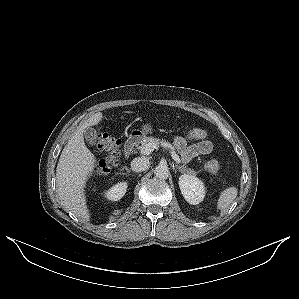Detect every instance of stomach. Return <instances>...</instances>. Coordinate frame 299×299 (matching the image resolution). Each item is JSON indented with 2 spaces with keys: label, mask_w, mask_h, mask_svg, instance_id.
Here are the masks:
<instances>
[{
  "label": "stomach",
  "mask_w": 299,
  "mask_h": 299,
  "mask_svg": "<svg viewBox=\"0 0 299 299\" xmlns=\"http://www.w3.org/2000/svg\"><path fill=\"white\" fill-rule=\"evenodd\" d=\"M152 132V127L150 124H145L142 126L141 130L135 129L132 130L131 134L129 135V138L131 140H141L146 134Z\"/></svg>",
  "instance_id": "obj_1"
}]
</instances>
